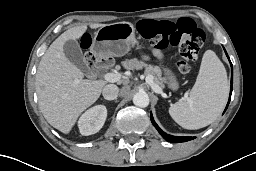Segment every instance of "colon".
<instances>
[{"instance_id":"5ec220e1","label":"colon","mask_w":256,"mask_h":171,"mask_svg":"<svg viewBox=\"0 0 256 171\" xmlns=\"http://www.w3.org/2000/svg\"><path fill=\"white\" fill-rule=\"evenodd\" d=\"M140 36L158 49H164L170 45L178 47L181 58L177 61V67L182 73L190 70L191 62L195 61L200 49L205 42L204 32L197 27L195 22L187 17L177 20H153L142 19L137 25ZM88 35L83 37V42L89 44ZM87 62L92 64L95 60L91 52L85 56Z\"/></svg>"}]
</instances>
